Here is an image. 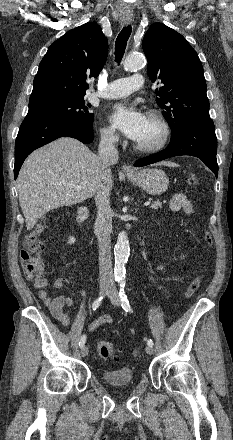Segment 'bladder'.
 <instances>
[{
	"label": "bladder",
	"instance_id": "obj_1",
	"mask_svg": "<svg viewBox=\"0 0 233 440\" xmlns=\"http://www.w3.org/2000/svg\"><path fill=\"white\" fill-rule=\"evenodd\" d=\"M103 378L109 385L120 387L131 384L134 380V373L131 368L123 367L104 371Z\"/></svg>",
	"mask_w": 233,
	"mask_h": 440
}]
</instances>
